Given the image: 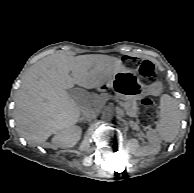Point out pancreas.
Segmentation results:
<instances>
[{
	"label": "pancreas",
	"instance_id": "pancreas-1",
	"mask_svg": "<svg viewBox=\"0 0 194 193\" xmlns=\"http://www.w3.org/2000/svg\"><path fill=\"white\" fill-rule=\"evenodd\" d=\"M112 102L116 101L115 97L111 98ZM120 105L122 108L125 109L126 113L131 116V117H136L137 116V104L135 101H132L130 99H125V98H120L119 99Z\"/></svg>",
	"mask_w": 194,
	"mask_h": 193
}]
</instances>
